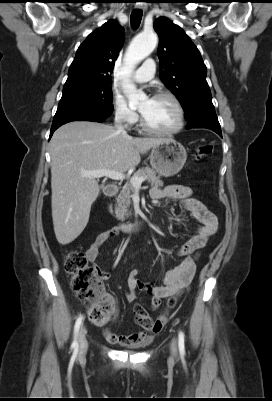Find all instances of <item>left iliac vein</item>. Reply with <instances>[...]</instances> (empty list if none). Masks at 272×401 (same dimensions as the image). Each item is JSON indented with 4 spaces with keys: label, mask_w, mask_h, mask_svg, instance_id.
Masks as SVG:
<instances>
[{
    "label": "left iliac vein",
    "mask_w": 272,
    "mask_h": 401,
    "mask_svg": "<svg viewBox=\"0 0 272 401\" xmlns=\"http://www.w3.org/2000/svg\"><path fill=\"white\" fill-rule=\"evenodd\" d=\"M171 353L173 356L177 355V342L175 339L171 342Z\"/></svg>",
    "instance_id": "obj_1"
}]
</instances>
